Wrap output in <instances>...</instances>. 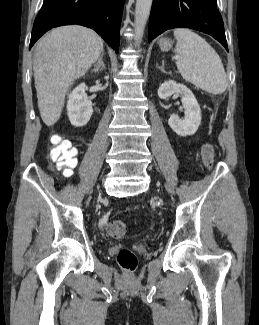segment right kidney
Listing matches in <instances>:
<instances>
[{
    "instance_id": "obj_1",
    "label": "right kidney",
    "mask_w": 259,
    "mask_h": 325,
    "mask_svg": "<svg viewBox=\"0 0 259 325\" xmlns=\"http://www.w3.org/2000/svg\"><path fill=\"white\" fill-rule=\"evenodd\" d=\"M67 114L71 124L81 127L88 123L92 114V102L85 92V84L78 85L68 96Z\"/></svg>"
}]
</instances>
